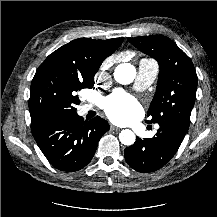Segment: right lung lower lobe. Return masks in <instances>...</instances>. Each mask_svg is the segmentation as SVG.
<instances>
[{
    "instance_id": "1",
    "label": "right lung lower lobe",
    "mask_w": 217,
    "mask_h": 217,
    "mask_svg": "<svg viewBox=\"0 0 217 217\" xmlns=\"http://www.w3.org/2000/svg\"><path fill=\"white\" fill-rule=\"evenodd\" d=\"M31 130L39 148L55 168L74 172L91 161L109 124L98 116L87 122L75 113L33 121Z\"/></svg>"
}]
</instances>
